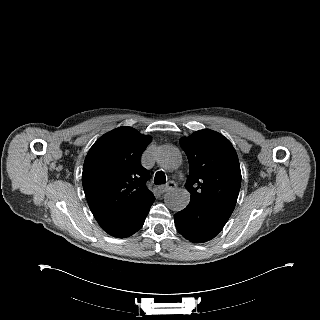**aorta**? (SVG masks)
Listing matches in <instances>:
<instances>
[{
    "label": "aorta",
    "mask_w": 320,
    "mask_h": 320,
    "mask_svg": "<svg viewBox=\"0 0 320 320\" xmlns=\"http://www.w3.org/2000/svg\"><path fill=\"white\" fill-rule=\"evenodd\" d=\"M180 151L171 145L161 146L156 153L157 163L166 170H174L181 164ZM190 201V194L184 189L171 190L165 194V204L173 211L183 210Z\"/></svg>",
    "instance_id": "aorta-1"
}]
</instances>
